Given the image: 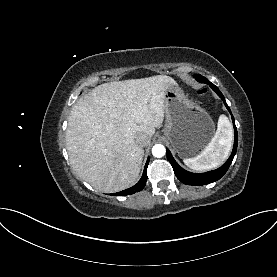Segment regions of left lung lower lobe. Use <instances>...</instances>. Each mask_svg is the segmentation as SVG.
I'll use <instances>...</instances> for the list:
<instances>
[{
	"label": "left lung lower lobe",
	"instance_id": "0a47b994",
	"mask_svg": "<svg viewBox=\"0 0 277 277\" xmlns=\"http://www.w3.org/2000/svg\"><path fill=\"white\" fill-rule=\"evenodd\" d=\"M196 80L201 83L208 84L218 94V96L223 100L226 108L231 113V110H230L229 106L227 105L223 94L220 92V90L214 84H212L206 78H204V79L196 78ZM231 115H232V113H231ZM232 121H233V126H234V133H235L233 151H232L229 159L225 162V164L216 170L209 171L206 173H199V174L188 172V171L184 170L183 168H181L177 164V162L172 157L170 151L167 149V159L171 163L175 175L182 183L187 184V185H205V184H209V183L219 180L226 173V171L228 170V168H229L230 164L232 163V160L236 154L237 143H238V134H237V129L235 126V121H234L233 116H232Z\"/></svg>",
	"mask_w": 277,
	"mask_h": 277
}]
</instances>
